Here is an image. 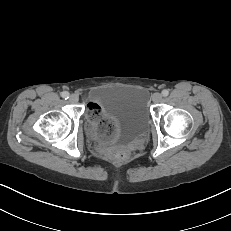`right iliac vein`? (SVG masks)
<instances>
[{
    "label": "right iliac vein",
    "instance_id": "63e3f726",
    "mask_svg": "<svg viewBox=\"0 0 231 231\" xmlns=\"http://www.w3.org/2000/svg\"><path fill=\"white\" fill-rule=\"evenodd\" d=\"M78 100H79V98H78V96H77L76 94H72V95H70V97H69V101H70L71 103H77Z\"/></svg>",
    "mask_w": 231,
    "mask_h": 231
}]
</instances>
